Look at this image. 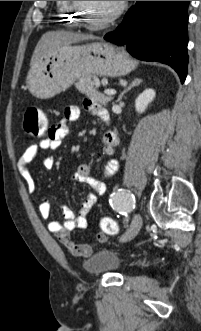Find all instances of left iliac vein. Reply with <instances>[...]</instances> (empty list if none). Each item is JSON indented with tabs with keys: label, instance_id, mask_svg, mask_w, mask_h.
<instances>
[{
	"label": "left iliac vein",
	"instance_id": "obj_1",
	"mask_svg": "<svg viewBox=\"0 0 201 331\" xmlns=\"http://www.w3.org/2000/svg\"><path fill=\"white\" fill-rule=\"evenodd\" d=\"M143 225V220L140 214H136L127 231L121 236L120 242H128L132 240L140 231Z\"/></svg>",
	"mask_w": 201,
	"mask_h": 331
}]
</instances>
